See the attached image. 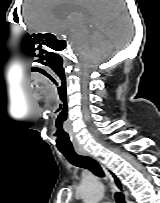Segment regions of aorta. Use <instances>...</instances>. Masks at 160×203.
Instances as JSON below:
<instances>
[{
	"instance_id": "aorta-1",
	"label": "aorta",
	"mask_w": 160,
	"mask_h": 203,
	"mask_svg": "<svg viewBox=\"0 0 160 203\" xmlns=\"http://www.w3.org/2000/svg\"><path fill=\"white\" fill-rule=\"evenodd\" d=\"M80 195L84 203H99L104 195V186L96 179L85 181L80 186Z\"/></svg>"
}]
</instances>
